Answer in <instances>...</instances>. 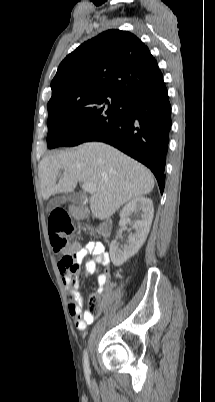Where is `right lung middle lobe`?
Wrapping results in <instances>:
<instances>
[{"label": "right lung middle lobe", "mask_w": 215, "mask_h": 402, "mask_svg": "<svg viewBox=\"0 0 215 402\" xmlns=\"http://www.w3.org/2000/svg\"><path fill=\"white\" fill-rule=\"evenodd\" d=\"M128 100L103 94L59 97L48 103V148L76 146L105 130L126 111Z\"/></svg>", "instance_id": "right-lung-middle-lobe-1"}]
</instances>
